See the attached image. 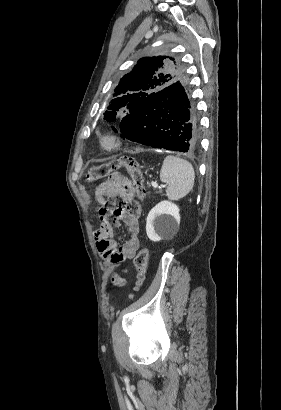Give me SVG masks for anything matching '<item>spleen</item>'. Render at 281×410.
I'll use <instances>...</instances> for the list:
<instances>
[{
  "label": "spleen",
  "mask_w": 281,
  "mask_h": 410,
  "mask_svg": "<svg viewBox=\"0 0 281 410\" xmlns=\"http://www.w3.org/2000/svg\"><path fill=\"white\" fill-rule=\"evenodd\" d=\"M195 173L192 165L181 158L168 155L165 157L160 180L166 183V195L171 200H179L193 188Z\"/></svg>",
  "instance_id": "1"
}]
</instances>
